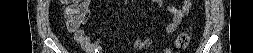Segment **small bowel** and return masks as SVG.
Returning a JSON list of instances; mask_svg holds the SVG:
<instances>
[{
    "mask_svg": "<svg viewBox=\"0 0 253 53\" xmlns=\"http://www.w3.org/2000/svg\"><path fill=\"white\" fill-rule=\"evenodd\" d=\"M192 5V0H185L183 1L181 8H176L174 6H170L168 8L169 12L172 14V20L167 27V32H172L177 29L183 17L190 11ZM75 38L86 52H94L93 42L87 36L86 30L84 28L80 27L78 30L75 31ZM145 42L147 45L150 43L149 40H145Z\"/></svg>",
    "mask_w": 253,
    "mask_h": 53,
    "instance_id": "c3829d8e",
    "label": "small bowel"
}]
</instances>
